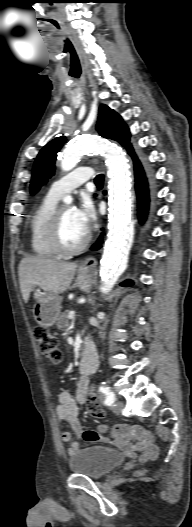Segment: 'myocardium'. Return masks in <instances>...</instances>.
Returning a JSON list of instances; mask_svg holds the SVG:
<instances>
[{"mask_svg":"<svg viewBox=\"0 0 192 527\" xmlns=\"http://www.w3.org/2000/svg\"><path fill=\"white\" fill-rule=\"evenodd\" d=\"M64 207L58 208L55 211L52 223H51V229H50V242L54 250L61 255H73L76 253L81 252L84 250L90 240H91V234L87 232V235L85 238L77 245L75 246H67L64 244L62 240V213H63Z\"/></svg>","mask_w":192,"mask_h":527,"instance_id":"myocardium-1","label":"myocardium"}]
</instances>
